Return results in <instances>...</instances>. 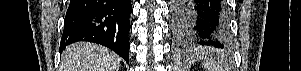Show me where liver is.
<instances>
[{
	"label": "liver",
	"instance_id": "liver-1",
	"mask_svg": "<svg viewBox=\"0 0 301 71\" xmlns=\"http://www.w3.org/2000/svg\"><path fill=\"white\" fill-rule=\"evenodd\" d=\"M121 58L108 48L78 42L62 53L61 71H118Z\"/></svg>",
	"mask_w": 301,
	"mask_h": 71
}]
</instances>
